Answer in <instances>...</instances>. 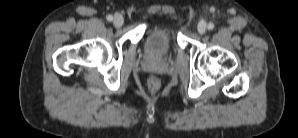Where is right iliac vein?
<instances>
[{"mask_svg": "<svg viewBox=\"0 0 298 138\" xmlns=\"http://www.w3.org/2000/svg\"><path fill=\"white\" fill-rule=\"evenodd\" d=\"M124 19L122 15L116 14L113 19V24L115 27H121L123 25Z\"/></svg>", "mask_w": 298, "mask_h": 138, "instance_id": "obj_1", "label": "right iliac vein"}]
</instances>
